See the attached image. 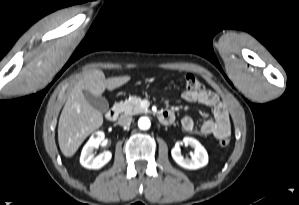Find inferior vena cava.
Wrapping results in <instances>:
<instances>
[{
    "label": "inferior vena cava",
    "instance_id": "602c4592",
    "mask_svg": "<svg viewBox=\"0 0 299 205\" xmlns=\"http://www.w3.org/2000/svg\"><path fill=\"white\" fill-rule=\"evenodd\" d=\"M132 122V117L127 116V115H121L120 118L118 119V124L121 126H128Z\"/></svg>",
    "mask_w": 299,
    "mask_h": 205
}]
</instances>
